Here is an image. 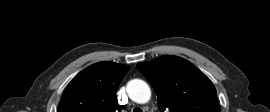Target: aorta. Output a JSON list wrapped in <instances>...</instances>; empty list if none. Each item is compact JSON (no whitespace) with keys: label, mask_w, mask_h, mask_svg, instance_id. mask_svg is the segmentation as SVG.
Masks as SVG:
<instances>
[{"label":"aorta","mask_w":270,"mask_h":112,"mask_svg":"<svg viewBox=\"0 0 270 112\" xmlns=\"http://www.w3.org/2000/svg\"><path fill=\"white\" fill-rule=\"evenodd\" d=\"M127 93L131 100L139 104L148 102L151 97L150 87L141 79L129 81L127 84Z\"/></svg>","instance_id":"1"}]
</instances>
